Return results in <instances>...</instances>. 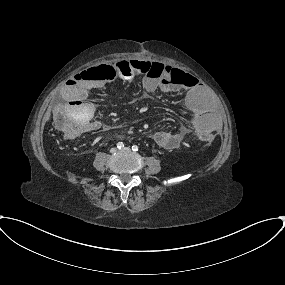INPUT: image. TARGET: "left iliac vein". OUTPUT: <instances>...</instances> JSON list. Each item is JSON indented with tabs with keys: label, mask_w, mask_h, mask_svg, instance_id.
<instances>
[{
	"label": "left iliac vein",
	"mask_w": 285,
	"mask_h": 285,
	"mask_svg": "<svg viewBox=\"0 0 285 285\" xmlns=\"http://www.w3.org/2000/svg\"><path fill=\"white\" fill-rule=\"evenodd\" d=\"M123 151H130V148L129 147H125V148H123Z\"/></svg>",
	"instance_id": "left-iliac-vein-1"
}]
</instances>
